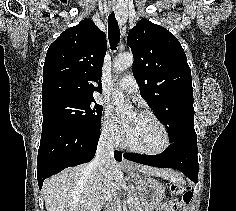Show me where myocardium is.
<instances>
[{
    "label": "myocardium",
    "mask_w": 236,
    "mask_h": 211,
    "mask_svg": "<svg viewBox=\"0 0 236 211\" xmlns=\"http://www.w3.org/2000/svg\"><path fill=\"white\" fill-rule=\"evenodd\" d=\"M139 114L150 118L161 128L163 136H164V142H163L162 147L157 151H145V150L135 148L134 146L129 144L128 141L126 140L125 131L123 132L122 145L124 146V148L128 149L129 151H132L134 153L141 154V155L158 156V155L164 154L169 149L170 143H171L170 135H169L166 125L156 115H154L150 111L142 110V111H139Z\"/></svg>",
    "instance_id": "f54148a6"
}]
</instances>
